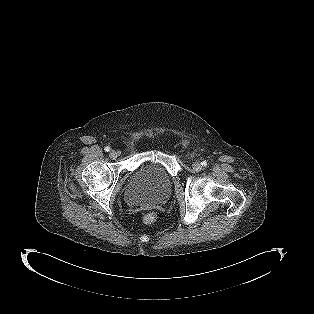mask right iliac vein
<instances>
[{
    "label": "right iliac vein",
    "mask_w": 314,
    "mask_h": 314,
    "mask_svg": "<svg viewBox=\"0 0 314 314\" xmlns=\"http://www.w3.org/2000/svg\"><path fill=\"white\" fill-rule=\"evenodd\" d=\"M117 156H118V153H117L115 150L110 151L109 157H110L111 159H116Z\"/></svg>",
    "instance_id": "63e3f726"
}]
</instances>
